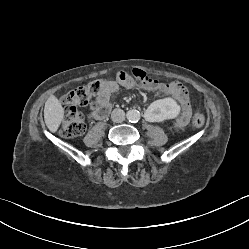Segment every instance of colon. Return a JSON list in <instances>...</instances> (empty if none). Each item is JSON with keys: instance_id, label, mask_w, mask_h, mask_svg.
<instances>
[{"instance_id": "5ec220e1", "label": "colon", "mask_w": 249, "mask_h": 249, "mask_svg": "<svg viewBox=\"0 0 249 249\" xmlns=\"http://www.w3.org/2000/svg\"><path fill=\"white\" fill-rule=\"evenodd\" d=\"M109 80H96L87 86L78 87L67 92L62 97L65 105L63 120L61 123L60 134L64 138H74L80 136L85 131V122L83 115L77 110L78 105H85L91 97L98 95ZM205 117L196 112L191 122L195 127H202L205 124Z\"/></svg>"}]
</instances>
